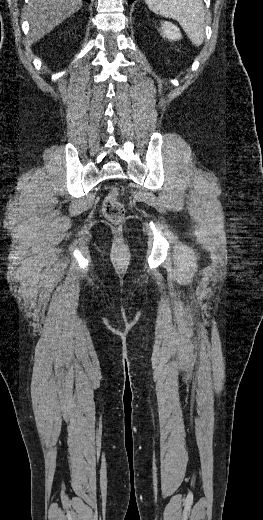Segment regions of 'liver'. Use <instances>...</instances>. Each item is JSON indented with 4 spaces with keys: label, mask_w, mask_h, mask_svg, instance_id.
Listing matches in <instances>:
<instances>
[{
    "label": "liver",
    "mask_w": 263,
    "mask_h": 520,
    "mask_svg": "<svg viewBox=\"0 0 263 520\" xmlns=\"http://www.w3.org/2000/svg\"><path fill=\"white\" fill-rule=\"evenodd\" d=\"M82 4V0H29L26 10L30 24V42H36L50 33L62 21L76 13Z\"/></svg>",
    "instance_id": "liver-1"
}]
</instances>
